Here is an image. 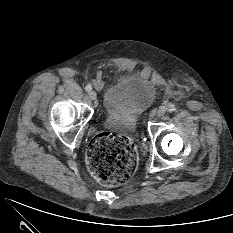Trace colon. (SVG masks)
<instances>
[{
    "label": "colon",
    "instance_id": "obj_1",
    "mask_svg": "<svg viewBox=\"0 0 233 233\" xmlns=\"http://www.w3.org/2000/svg\"><path fill=\"white\" fill-rule=\"evenodd\" d=\"M87 164L100 183L118 186L132 177L137 168L138 157L129 137L103 132L91 140L87 150Z\"/></svg>",
    "mask_w": 233,
    "mask_h": 233
}]
</instances>
